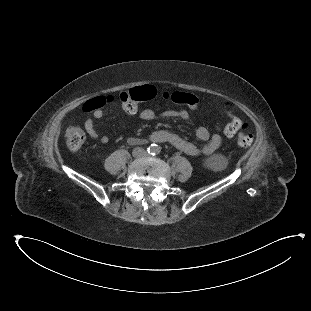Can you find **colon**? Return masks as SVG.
Instances as JSON below:
<instances>
[{"instance_id": "obj_1", "label": "colon", "mask_w": 311, "mask_h": 311, "mask_svg": "<svg viewBox=\"0 0 311 311\" xmlns=\"http://www.w3.org/2000/svg\"><path fill=\"white\" fill-rule=\"evenodd\" d=\"M156 93V89L154 86H144L141 88L134 89L132 91L123 92L119 95V99L122 102V107L126 112L134 113L138 108V100L141 99H150L154 97ZM162 98L164 100L172 101L174 103L183 104L188 106L190 109L195 110L198 109L196 99L193 95L188 93L182 92H173L170 93L165 91L162 93ZM114 97L107 96V95H100L99 97H89L83 100V105L81 108L78 109L80 114H88L89 110L95 109L96 106H100L101 104L106 105H113L114 104ZM217 106H221V108H225L228 114L231 115V118H235V120L226 124L223 128V133L227 136H232L233 130H235L236 121H238L237 113L233 110L228 103H223V101H217ZM244 121V120H243ZM242 123V122H241ZM248 125V123H247ZM66 144L68 149L71 152L78 151L81 146L83 145L86 139V133L83 129L78 127L69 128L65 134ZM238 138V145L242 149H248L252 146L254 142V138L252 135L247 133L243 134L242 136H237Z\"/></svg>"}]
</instances>
